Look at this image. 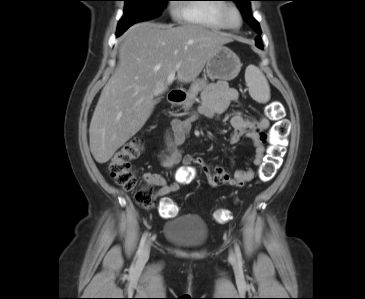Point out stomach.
<instances>
[{
	"instance_id": "obj_1",
	"label": "stomach",
	"mask_w": 365,
	"mask_h": 299,
	"mask_svg": "<svg viewBox=\"0 0 365 299\" xmlns=\"http://www.w3.org/2000/svg\"><path fill=\"white\" fill-rule=\"evenodd\" d=\"M239 57L228 47L218 48L208 59L206 73L210 79L232 80L241 70Z\"/></svg>"
}]
</instances>
